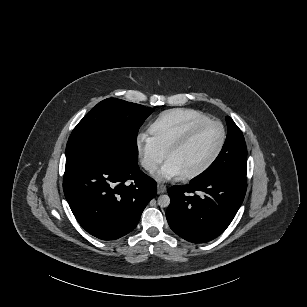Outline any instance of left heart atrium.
<instances>
[{
  "mask_svg": "<svg viewBox=\"0 0 307 307\" xmlns=\"http://www.w3.org/2000/svg\"><path fill=\"white\" fill-rule=\"evenodd\" d=\"M180 176H182L180 171L172 163L168 161L159 171L157 178L159 180L165 181Z\"/></svg>",
  "mask_w": 307,
  "mask_h": 307,
  "instance_id": "obj_1",
  "label": "left heart atrium"
}]
</instances>
